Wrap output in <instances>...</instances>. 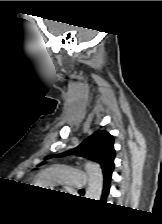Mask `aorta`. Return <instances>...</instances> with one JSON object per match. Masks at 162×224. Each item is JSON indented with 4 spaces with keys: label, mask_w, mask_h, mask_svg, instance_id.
<instances>
[{
    "label": "aorta",
    "mask_w": 162,
    "mask_h": 224,
    "mask_svg": "<svg viewBox=\"0 0 162 224\" xmlns=\"http://www.w3.org/2000/svg\"><path fill=\"white\" fill-rule=\"evenodd\" d=\"M85 170L88 174V188L85 197L99 200L103 189L102 170L98 164L91 161L85 164Z\"/></svg>",
    "instance_id": "obj_1"
}]
</instances>
